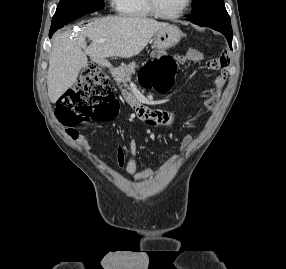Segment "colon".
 Here are the masks:
<instances>
[{
	"label": "colon",
	"instance_id": "obj_1",
	"mask_svg": "<svg viewBox=\"0 0 286 269\" xmlns=\"http://www.w3.org/2000/svg\"><path fill=\"white\" fill-rule=\"evenodd\" d=\"M152 60L142 72V82L161 92L168 91L174 83L176 61L167 56L166 49H152ZM119 110L118 101L101 69L88 64L75 88L64 93L57 102L56 117L72 137L75 127L84 121L102 122L114 119Z\"/></svg>",
	"mask_w": 286,
	"mask_h": 269
}]
</instances>
